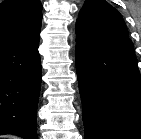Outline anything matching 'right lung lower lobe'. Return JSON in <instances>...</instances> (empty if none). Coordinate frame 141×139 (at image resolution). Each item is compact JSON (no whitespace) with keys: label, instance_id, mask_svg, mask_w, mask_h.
Listing matches in <instances>:
<instances>
[{"label":"right lung lower lobe","instance_id":"obj_1","mask_svg":"<svg viewBox=\"0 0 141 139\" xmlns=\"http://www.w3.org/2000/svg\"><path fill=\"white\" fill-rule=\"evenodd\" d=\"M39 36L0 48V135L37 139L42 77Z\"/></svg>","mask_w":141,"mask_h":139}]
</instances>
